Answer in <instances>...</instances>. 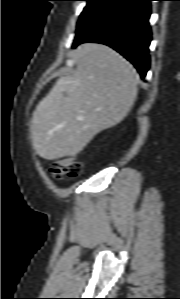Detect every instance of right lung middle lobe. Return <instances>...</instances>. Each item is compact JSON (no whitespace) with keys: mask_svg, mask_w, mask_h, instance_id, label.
I'll list each match as a JSON object with an SVG mask.
<instances>
[{"mask_svg":"<svg viewBox=\"0 0 180 299\" xmlns=\"http://www.w3.org/2000/svg\"><path fill=\"white\" fill-rule=\"evenodd\" d=\"M87 1V5L79 17V22L94 12L100 5L106 0H84Z\"/></svg>","mask_w":180,"mask_h":299,"instance_id":"right-lung-middle-lobe-1","label":"right lung middle lobe"}]
</instances>
